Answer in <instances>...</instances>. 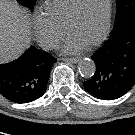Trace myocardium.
I'll list each match as a JSON object with an SVG mask.
<instances>
[{"mask_svg":"<svg viewBox=\"0 0 135 135\" xmlns=\"http://www.w3.org/2000/svg\"><path fill=\"white\" fill-rule=\"evenodd\" d=\"M84 1L85 0H78L72 13L67 18L65 26H64V30L66 34L68 33V29L71 23L80 15ZM112 10H113V0H108L106 22H105L104 29L97 38H95L94 40L86 44L85 45L86 47H93L102 43L106 39V37L109 35L110 29H111V23H112Z\"/></svg>","mask_w":135,"mask_h":135,"instance_id":"obj_1","label":"myocardium"}]
</instances>
